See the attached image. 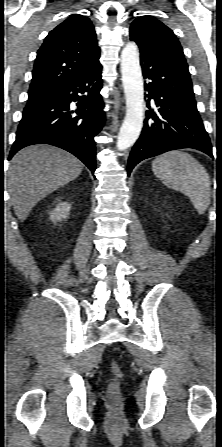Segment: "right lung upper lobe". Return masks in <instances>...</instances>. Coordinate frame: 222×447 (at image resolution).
Here are the masks:
<instances>
[{
  "label": "right lung upper lobe",
  "mask_w": 222,
  "mask_h": 447,
  "mask_svg": "<svg viewBox=\"0 0 222 447\" xmlns=\"http://www.w3.org/2000/svg\"><path fill=\"white\" fill-rule=\"evenodd\" d=\"M99 57L90 19L70 16L50 31L38 50L28 99L49 98L97 65Z\"/></svg>",
  "instance_id": "obj_1"
}]
</instances>
